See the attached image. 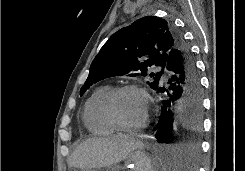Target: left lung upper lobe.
<instances>
[{
	"mask_svg": "<svg viewBox=\"0 0 245 171\" xmlns=\"http://www.w3.org/2000/svg\"><path fill=\"white\" fill-rule=\"evenodd\" d=\"M185 41L170 21L146 16L114 33L94 58L82 96L94 83L113 76H145L150 67L165 68L168 57ZM141 72V73H139ZM164 73H150L149 86L157 90Z\"/></svg>",
	"mask_w": 245,
	"mask_h": 171,
	"instance_id": "1",
	"label": "left lung upper lobe"
}]
</instances>
